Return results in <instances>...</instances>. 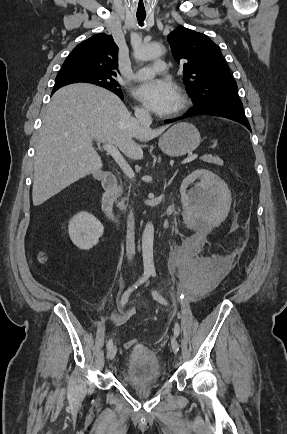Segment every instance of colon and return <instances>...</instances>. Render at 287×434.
<instances>
[{"label": "colon", "instance_id": "colon-1", "mask_svg": "<svg viewBox=\"0 0 287 434\" xmlns=\"http://www.w3.org/2000/svg\"><path fill=\"white\" fill-rule=\"evenodd\" d=\"M40 262H44L46 260V255L44 253H40L39 257H38ZM137 343V340L133 339V340H129L128 342L125 343V348L126 349H130L135 347Z\"/></svg>", "mask_w": 287, "mask_h": 434}]
</instances>
